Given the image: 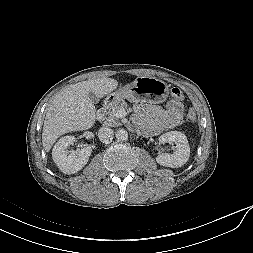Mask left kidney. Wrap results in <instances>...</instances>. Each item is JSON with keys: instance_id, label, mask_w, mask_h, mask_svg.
<instances>
[{"instance_id": "left-kidney-1", "label": "left kidney", "mask_w": 253, "mask_h": 253, "mask_svg": "<svg viewBox=\"0 0 253 253\" xmlns=\"http://www.w3.org/2000/svg\"><path fill=\"white\" fill-rule=\"evenodd\" d=\"M161 143H175L176 151L173 154L162 153L156 157L158 164L178 168L183 166L189 159L190 147L186 136L178 131H170L159 137Z\"/></svg>"}]
</instances>
